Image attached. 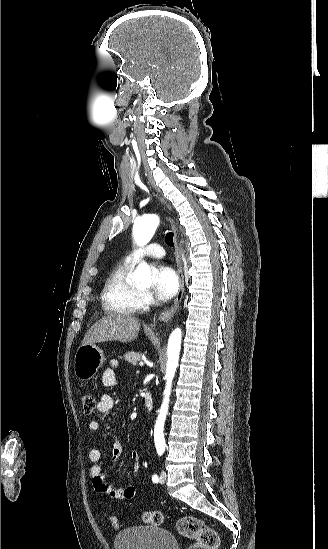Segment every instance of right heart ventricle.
Listing matches in <instances>:
<instances>
[{"label": "right heart ventricle", "instance_id": "obj_1", "mask_svg": "<svg viewBox=\"0 0 328 549\" xmlns=\"http://www.w3.org/2000/svg\"><path fill=\"white\" fill-rule=\"evenodd\" d=\"M135 263L125 257L108 277L101 296L105 319H138L137 313L147 305L144 293L130 280Z\"/></svg>", "mask_w": 328, "mask_h": 549}]
</instances>
